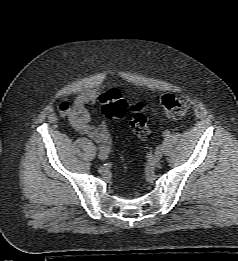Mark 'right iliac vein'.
Masks as SVG:
<instances>
[{
	"instance_id": "1",
	"label": "right iliac vein",
	"mask_w": 238,
	"mask_h": 261,
	"mask_svg": "<svg viewBox=\"0 0 238 261\" xmlns=\"http://www.w3.org/2000/svg\"><path fill=\"white\" fill-rule=\"evenodd\" d=\"M98 157H99L101 160H106L107 157H108L107 152H105V151H100V152L98 153Z\"/></svg>"
}]
</instances>
